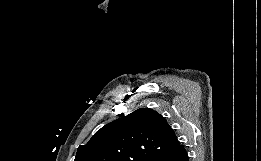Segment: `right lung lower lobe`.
Returning a JSON list of instances; mask_svg holds the SVG:
<instances>
[{
    "instance_id": "98d812e1",
    "label": "right lung lower lobe",
    "mask_w": 261,
    "mask_h": 161,
    "mask_svg": "<svg viewBox=\"0 0 261 161\" xmlns=\"http://www.w3.org/2000/svg\"><path fill=\"white\" fill-rule=\"evenodd\" d=\"M152 161H189L187 152L184 147L172 153L156 157Z\"/></svg>"
}]
</instances>
